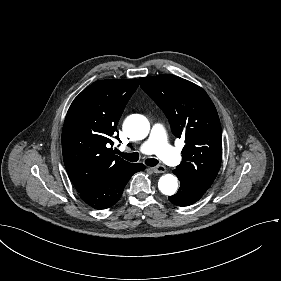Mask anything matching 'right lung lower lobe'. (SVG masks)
Segmentation results:
<instances>
[{"instance_id": "obj_1", "label": "right lung lower lobe", "mask_w": 281, "mask_h": 281, "mask_svg": "<svg viewBox=\"0 0 281 281\" xmlns=\"http://www.w3.org/2000/svg\"><path fill=\"white\" fill-rule=\"evenodd\" d=\"M144 169L145 166L143 164L136 163L130 169L109 179L102 185L90 191L80 193V197L84 202L95 209H107L120 199L123 189L131 176Z\"/></svg>"}]
</instances>
